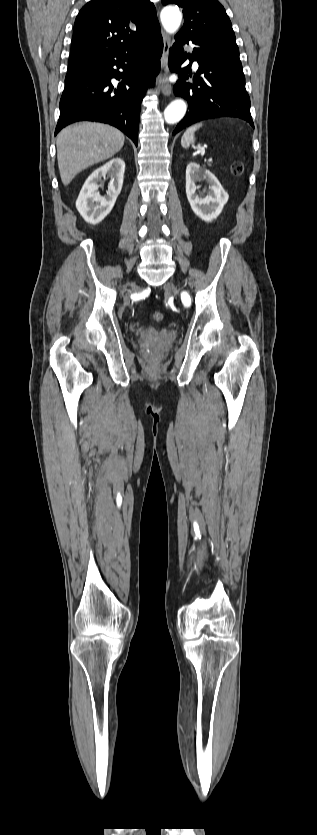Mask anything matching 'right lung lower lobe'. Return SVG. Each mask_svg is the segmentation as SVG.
<instances>
[{"mask_svg": "<svg viewBox=\"0 0 317 835\" xmlns=\"http://www.w3.org/2000/svg\"><path fill=\"white\" fill-rule=\"evenodd\" d=\"M162 51L156 28L150 37L117 52L71 53L55 135L71 123L96 121L117 127L137 145L141 102L160 69ZM112 78L122 81L114 87Z\"/></svg>", "mask_w": 317, "mask_h": 835, "instance_id": "right-lung-lower-lobe-1", "label": "right lung lower lobe"}]
</instances>
